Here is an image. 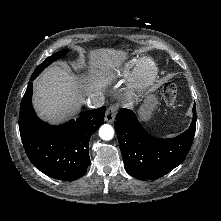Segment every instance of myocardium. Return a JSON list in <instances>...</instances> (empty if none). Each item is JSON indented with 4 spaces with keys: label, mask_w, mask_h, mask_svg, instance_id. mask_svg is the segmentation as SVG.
Returning a JSON list of instances; mask_svg holds the SVG:
<instances>
[{
    "label": "myocardium",
    "mask_w": 221,
    "mask_h": 221,
    "mask_svg": "<svg viewBox=\"0 0 221 221\" xmlns=\"http://www.w3.org/2000/svg\"><path fill=\"white\" fill-rule=\"evenodd\" d=\"M158 75V66L151 58L141 59L135 67L132 81L135 89H143L151 85Z\"/></svg>",
    "instance_id": "f54148a6"
}]
</instances>
